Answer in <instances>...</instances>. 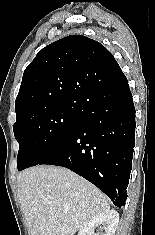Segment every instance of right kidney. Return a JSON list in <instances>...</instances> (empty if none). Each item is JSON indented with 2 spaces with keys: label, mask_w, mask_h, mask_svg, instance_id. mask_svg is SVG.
I'll use <instances>...</instances> for the list:
<instances>
[{
  "label": "right kidney",
  "mask_w": 155,
  "mask_h": 235,
  "mask_svg": "<svg viewBox=\"0 0 155 235\" xmlns=\"http://www.w3.org/2000/svg\"><path fill=\"white\" fill-rule=\"evenodd\" d=\"M118 222L119 214L115 210H109L86 222L81 227L78 235H99L94 233L96 226L104 229V233H100V235H115Z\"/></svg>",
  "instance_id": "right-kidney-1"
}]
</instances>
